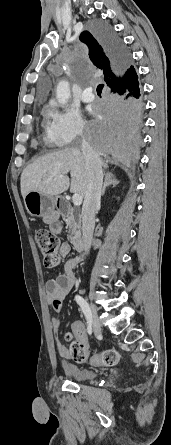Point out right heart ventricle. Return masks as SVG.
<instances>
[{
	"label": "right heart ventricle",
	"instance_id": "right-heart-ventricle-1",
	"mask_svg": "<svg viewBox=\"0 0 171 445\" xmlns=\"http://www.w3.org/2000/svg\"><path fill=\"white\" fill-rule=\"evenodd\" d=\"M43 130V140L47 146L56 147L60 145L54 134L52 122H50L48 119L43 121Z\"/></svg>",
	"mask_w": 171,
	"mask_h": 445
}]
</instances>
